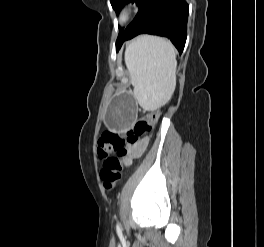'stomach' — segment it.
<instances>
[{
	"label": "stomach",
	"mask_w": 264,
	"mask_h": 247,
	"mask_svg": "<svg viewBox=\"0 0 264 247\" xmlns=\"http://www.w3.org/2000/svg\"><path fill=\"white\" fill-rule=\"evenodd\" d=\"M137 112L136 94H117L108 107L106 122L117 130L132 128Z\"/></svg>",
	"instance_id": "stomach-1"
}]
</instances>
